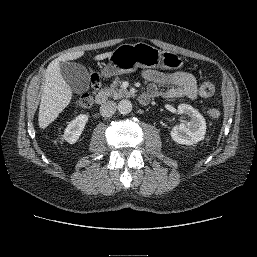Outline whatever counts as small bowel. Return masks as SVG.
<instances>
[{"label": "small bowel", "mask_w": 257, "mask_h": 257, "mask_svg": "<svg viewBox=\"0 0 257 257\" xmlns=\"http://www.w3.org/2000/svg\"><path fill=\"white\" fill-rule=\"evenodd\" d=\"M142 77L148 82L143 95L149 99L155 97L195 99L198 95L197 80L194 75L188 72L145 70ZM160 86L165 87V89L161 91Z\"/></svg>", "instance_id": "1"}]
</instances>
